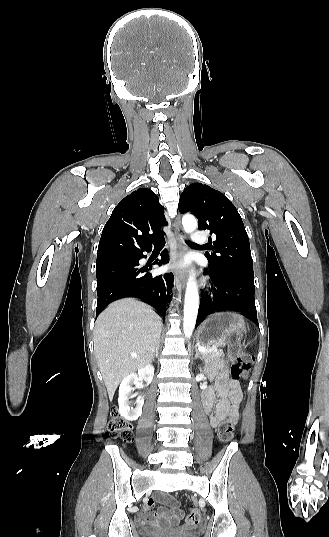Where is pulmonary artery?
Returning <instances> with one entry per match:
<instances>
[{"mask_svg": "<svg viewBox=\"0 0 329 537\" xmlns=\"http://www.w3.org/2000/svg\"><path fill=\"white\" fill-rule=\"evenodd\" d=\"M192 241L195 245L201 246L206 243L207 238L201 231H196L192 234Z\"/></svg>", "mask_w": 329, "mask_h": 537, "instance_id": "pulmonary-artery-1", "label": "pulmonary artery"}]
</instances>
